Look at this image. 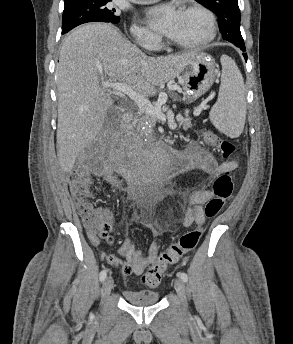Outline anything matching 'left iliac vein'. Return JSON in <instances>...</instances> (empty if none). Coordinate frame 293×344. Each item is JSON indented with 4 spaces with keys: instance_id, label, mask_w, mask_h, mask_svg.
I'll list each match as a JSON object with an SVG mask.
<instances>
[{
    "instance_id": "1",
    "label": "left iliac vein",
    "mask_w": 293,
    "mask_h": 344,
    "mask_svg": "<svg viewBox=\"0 0 293 344\" xmlns=\"http://www.w3.org/2000/svg\"><path fill=\"white\" fill-rule=\"evenodd\" d=\"M174 288L185 308H187L186 290L183 281L179 278L174 280Z\"/></svg>"
}]
</instances>
